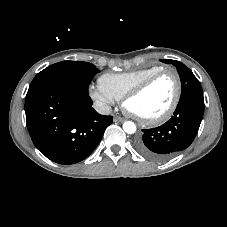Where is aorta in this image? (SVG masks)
I'll use <instances>...</instances> for the list:
<instances>
[{
  "label": "aorta",
  "mask_w": 227,
  "mask_h": 227,
  "mask_svg": "<svg viewBox=\"0 0 227 227\" xmlns=\"http://www.w3.org/2000/svg\"><path fill=\"white\" fill-rule=\"evenodd\" d=\"M123 130L128 134H134L136 132V125L132 121H126L123 123Z\"/></svg>",
  "instance_id": "aorta-1"
}]
</instances>
